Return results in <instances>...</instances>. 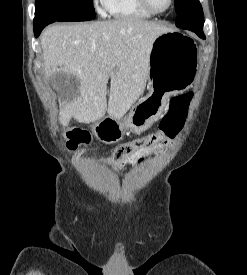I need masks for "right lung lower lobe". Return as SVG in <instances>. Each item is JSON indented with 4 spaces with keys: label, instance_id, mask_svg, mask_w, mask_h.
I'll return each instance as SVG.
<instances>
[{
    "label": "right lung lower lobe",
    "instance_id": "98d812e1",
    "mask_svg": "<svg viewBox=\"0 0 247 275\" xmlns=\"http://www.w3.org/2000/svg\"><path fill=\"white\" fill-rule=\"evenodd\" d=\"M55 22L53 19H44L43 21L34 22V34L38 37L45 26Z\"/></svg>",
    "mask_w": 247,
    "mask_h": 275
}]
</instances>
